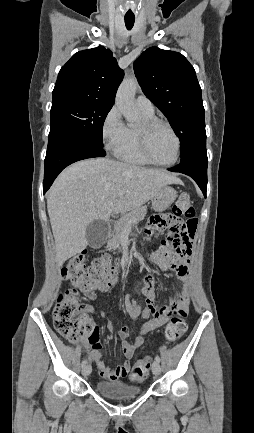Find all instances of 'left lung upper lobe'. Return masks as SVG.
Wrapping results in <instances>:
<instances>
[{
	"label": "left lung upper lobe",
	"instance_id": "5c2ea615",
	"mask_svg": "<svg viewBox=\"0 0 254 433\" xmlns=\"http://www.w3.org/2000/svg\"><path fill=\"white\" fill-rule=\"evenodd\" d=\"M146 97L169 120L181 144V161L207 160L201 87L193 66L180 53L152 47L134 64Z\"/></svg>",
	"mask_w": 254,
	"mask_h": 433
}]
</instances>
